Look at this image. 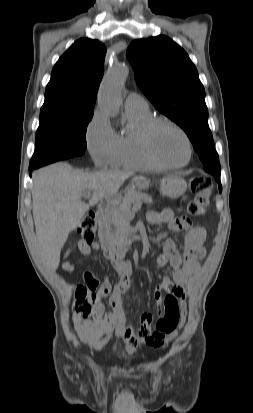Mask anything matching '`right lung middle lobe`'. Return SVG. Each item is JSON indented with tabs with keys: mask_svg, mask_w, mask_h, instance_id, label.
<instances>
[{
	"mask_svg": "<svg viewBox=\"0 0 253 413\" xmlns=\"http://www.w3.org/2000/svg\"><path fill=\"white\" fill-rule=\"evenodd\" d=\"M93 112L40 115L35 152L29 167L39 168L59 160L80 156L87 147L86 128Z\"/></svg>",
	"mask_w": 253,
	"mask_h": 413,
	"instance_id": "right-lung-middle-lobe-1",
	"label": "right lung middle lobe"
}]
</instances>
